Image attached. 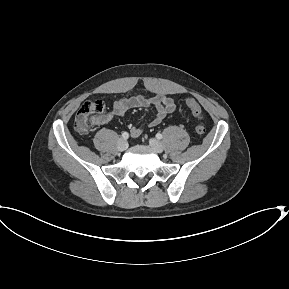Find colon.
Listing matches in <instances>:
<instances>
[{"label":"colon","instance_id":"colon-1","mask_svg":"<svg viewBox=\"0 0 289 289\" xmlns=\"http://www.w3.org/2000/svg\"><path fill=\"white\" fill-rule=\"evenodd\" d=\"M186 105L196 119L195 131L198 134L205 132L202 122V110L198 102L193 98L186 99ZM105 104L101 100H87L75 116V129L80 135H88L92 127L100 121L104 115Z\"/></svg>","mask_w":289,"mask_h":289}]
</instances>
